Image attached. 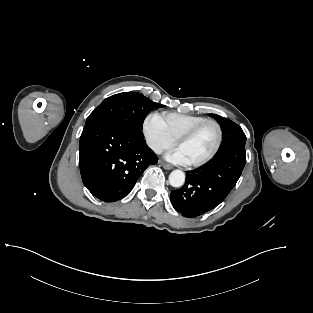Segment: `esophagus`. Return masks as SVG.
Here are the masks:
<instances>
[{
	"instance_id": "obj_1",
	"label": "esophagus",
	"mask_w": 313,
	"mask_h": 313,
	"mask_svg": "<svg viewBox=\"0 0 313 313\" xmlns=\"http://www.w3.org/2000/svg\"><path fill=\"white\" fill-rule=\"evenodd\" d=\"M161 166L166 169V170H171L173 169V166L164 162H161Z\"/></svg>"
}]
</instances>
